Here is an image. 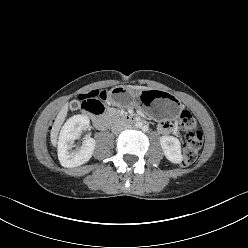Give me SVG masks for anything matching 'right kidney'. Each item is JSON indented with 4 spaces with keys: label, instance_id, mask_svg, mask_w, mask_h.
<instances>
[{
    "label": "right kidney",
    "instance_id": "obj_1",
    "mask_svg": "<svg viewBox=\"0 0 248 248\" xmlns=\"http://www.w3.org/2000/svg\"><path fill=\"white\" fill-rule=\"evenodd\" d=\"M88 125L87 116L74 115L62 127L58 141V159L63 167H78L92 157L96 142L91 137H86L80 148L72 150L74 140L80 137L81 130Z\"/></svg>",
    "mask_w": 248,
    "mask_h": 248
}]
</instances>
